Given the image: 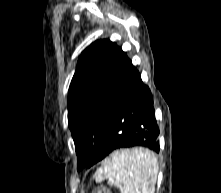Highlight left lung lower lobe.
<instances>
[{
    "mask_svg": "<svg viewBox=\"0 0 221 193\" xmlns=\"http://www.w3.org/2000/svg\"><path fill=\"white\" fill-rule=\"evenodd\" d=\"M159 133L150 89L143 84L139 72L131 65L113 105L109 130L86 166H93L120 148L142 146L158 153Z\"/></svg>",
    "mask_w": 221,
    "mask_h": 193,
    "instance_id": "0a47b994",
    "label": "left lung lower lobe"
}]
</instances>
